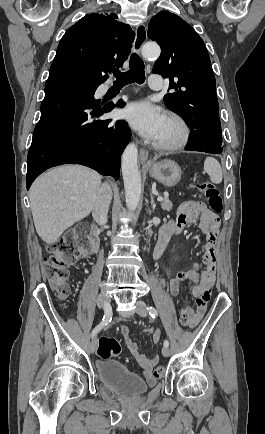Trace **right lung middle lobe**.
Returning a JSON list of instances; mask_svg holds the SVG:
<instances>
[{"label":"right lung middle lobe","mask_w":265,"mask_h":434,"mask_svg":"<svg viewBox=\"0 0 265 434\" xmlns=\"http://www.w3.org/2000/svg\"><path fill=\"white\" fill-rule=\"evenodd\" d=\"M53 77H68V78H72V79H84V80H88L94 83H98L97 81L91 79V78H87V77H82V76H74V75H56Z\"/></svg>","instance_id":"1"}]
</instances>
